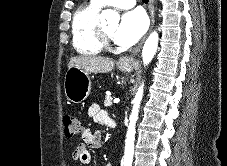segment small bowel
<instances>
[{
    "label": "small bowel",
    "mask_w": 227,
    "mask_h": 166,
    "mask_svg": "<svg viewBox=\"0 0 227 166\" xmlns=\"http://www.w3.org/2000/svg\"><path fill=\"white\" fill-rule=\"evenodd\" d=\"M89 117L95 122L112 126V121L108 112L100 107L99 104H92L88 109ZM82 141L73 151V158L79 162L82 166H91L93 155L88 148L97 149L101 146L100 134L93 131L90 127H86L82 131Z\"/></svg>",
    "instance_id": "1"
}]
</instances>
